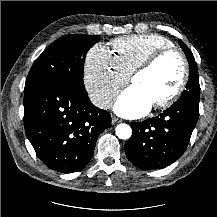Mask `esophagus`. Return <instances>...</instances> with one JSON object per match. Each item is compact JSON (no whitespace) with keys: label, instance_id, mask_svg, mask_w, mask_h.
Masks as SVG:
<instances>
[{"label":"esophagus","instance_id":"34e87169","mask_svg":"<svg viewBox=\"0 0 217 217\" xmlns=\"http://www.w3.org/2000/svg\"><path fill=\"white\" fill-rule=\"evenodd\" d=\"M121 120L119 119V118H117V117H112V120H111V122H112V125H115V124H117V123H119Z\"/></svg>","mask_w":217,"mask_h":217}]
</instances>
